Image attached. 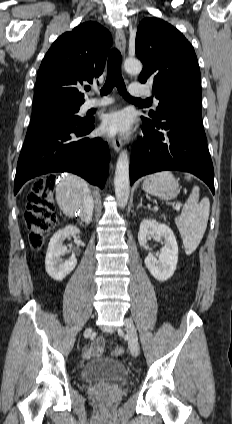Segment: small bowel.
<instances>
[{
  "label": "small bowel",
  "instance_id": "c3829d8e",
  "mask_svg": "<svg viewBox=\"0 0 232 424\" xmlns=\"http://www.w3.org/2000/svg\"><path fill=\"white\" fill-rule=\"evenodd\" d=\"M106 340L103 336H100L94 340L90 348L87 350V356H98L101 355L105 350Z\"/></svg>",
  "mask_w": 232,
  "mask_h": 424
}]
</instances>
